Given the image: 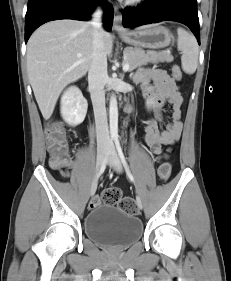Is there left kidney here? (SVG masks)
I'll list each match as a JSON object with an SVG mask.
<instances>
[{"mask_svg":"<svg viewBox=\"0 0 231 281\" xmlns=\"http://www.w3.org/2000/svg\"><path fill=\"white\" fill-rule=\"evenodd\" d=\"M148 108H154L155 107V103L152 99L148 100L146 103Z\"/></svg>","mask_w":231,"mask_h":281,"instance_id":"left-kidney-1","label":"left kidney"}]
</instances>
